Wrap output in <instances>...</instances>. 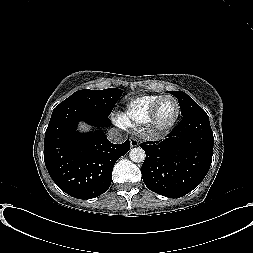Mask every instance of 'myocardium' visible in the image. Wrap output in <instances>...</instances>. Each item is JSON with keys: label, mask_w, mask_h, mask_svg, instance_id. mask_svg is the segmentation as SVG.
<instances>
[{"label": "myocardium", "mask_w": 253, "mask_h": 253, "mask_svg": "<svg viewBox=\"0 0 253 253\" xmlns=\"http://www.w3.org/2000/svg\"><path fill=\"white\" fill-rule=\"evenodd\" d=\"M167 98L172 99L175 102L176 108H177L176 114L169 123L165 125H159L156 120L157 113H158L160 104L162 103L163 100ZM180 114H181V106L178 99L173 95H163L154 103L151 110L149 111V114L144 122V129L151 136L164 135L165 133H167L174 127V125L177 123L180 117Z\"/></svg>", "instance_id": "1"}]
</instances>
